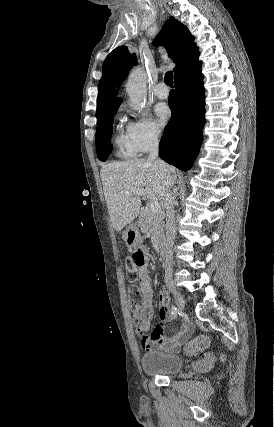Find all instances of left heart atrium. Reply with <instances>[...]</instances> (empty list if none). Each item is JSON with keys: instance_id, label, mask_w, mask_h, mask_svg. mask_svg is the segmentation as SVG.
Segmentation results:
<instances>
[{"instance_id": "39dd6f15", "label": "left heart atrium", "mask_w": 274, "mask_h": 427, "mask_svg": "<svg viewBox=\"0 0 274 427\" xmlns=\"http://www.w3.org/2000/svg\"><path fill=\"white\" fill-rule=\"evenodd\" d=\"M172 112L165 103H158L154 107V121L158 128L164 127L171 119Z\"/></svg>"}]
</instances>
